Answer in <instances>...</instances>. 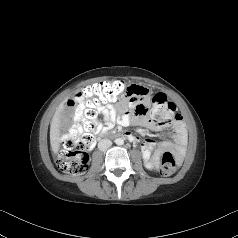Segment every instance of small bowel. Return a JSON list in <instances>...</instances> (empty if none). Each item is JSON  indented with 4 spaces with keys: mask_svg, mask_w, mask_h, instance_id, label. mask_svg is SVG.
Returning a JSON list of instances; mask_svg holds the SVG:
<instances>
[{
    "mask_svg": "<svg viewBox=\"0 0 238 238\" xmlns=\"http://www.w3.org/2000/svg\"><path fill=\"white\" fill-rule=\"evenodd\" d=\"M149 90L143 86L133 85L126 99L120 105L103 104L97 106V112L102 115V121H95L96 133H106L115 125L128 126L136 125L148 128L155 132H162L167 128L172 131V141L155 143L151 139L142 142V154L145 160L149 161L152 167L156 168L159 164L161 155L165 152H174L180 159L186 145V130L181 118L177 115L171 122H157L151 117L152 110L148 105ZM69 106L71 102H68ZM77 119L82 123L87 122V117L80 112H75ZM68 134L60 137L61 141H66Z\"/></svg>",
    "mask_w": 238,
    "mask_h": 238,
    "instance_id": "c3829d8e",
    "label": "small bowel"
}]
</instances>
